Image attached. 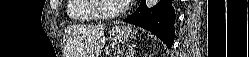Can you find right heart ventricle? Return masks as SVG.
<instances>
[{
  "instance_id": "e07e8e85",
  "label": "right heart ventricle",
  "mask_w": 249,
  "mask_h": 57,
  "mask_svg": "<svg viewBox=\"0 0 249 57\" xmlns=\"http://www.w3.org/2000/svg\"><path fill=\"white\" fill-rule=\"evenodd\" d=\"M67 15L74 21H94L100 18L92 8V0H68Z\"/></svg>"
}]
</instances>
